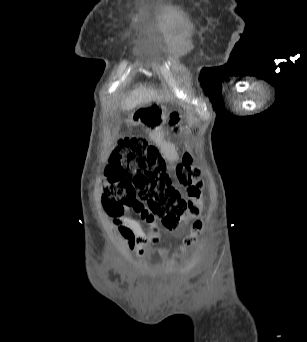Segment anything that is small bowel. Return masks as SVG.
Returning <instances> with one entry per match:
<instances>
[{
	"label": "small bowel",
	"mask_w": 307,
	"mask_h": 342,
	"mask_svg": "<svg viewBox=\"0 0 307 342\" xmlns=\"http://www.w3.org/2000/svg\"><path fill=\"white\" fill-rule=\"evenodd\" d=\"M142 220L147 224L143 225L140 220L120 216L114 219V226L124 240L125 247L129 253L143 256L150 244L161 239V228L150 214H143Z\"/></svg>",
	"instance_id": "obj_1"
}]
</instances>
